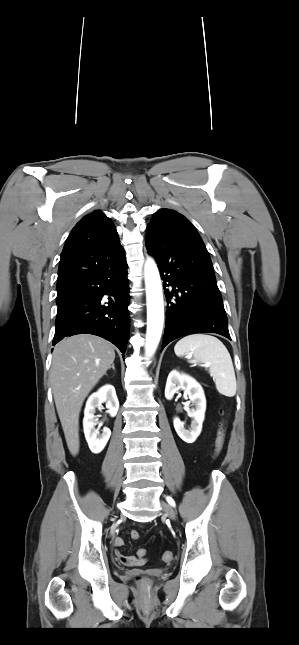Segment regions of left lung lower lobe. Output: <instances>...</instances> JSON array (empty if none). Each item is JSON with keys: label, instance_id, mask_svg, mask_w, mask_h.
<instances>
[{"label": "left lung lower lobe", "instance_id": "left-lung-lower-lobe-1", "mask_svg": "<svg viewBox=\"0 0 299 645\" xmlns=\"http://www.w3.org/2000/svg\"><path fill=\"white\" fill-rule=\"evenodd\" d=\"M146 247L158 264L168 304L162 349L193 333H217L231 340L212 262L200 235L178 227L148 231ZM169 286L176 289H166Z\"/></svg>", "mask_w": 299, "mask_h": 645}]
</instances>
